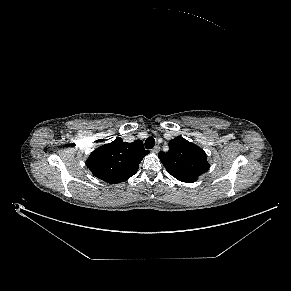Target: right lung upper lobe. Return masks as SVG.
<instances>
[{
	"mask_svg": "<svg viewBox=\"0 0 291 291\" xmlns=\"http://www.w3.org/2000/svg\"><path fill=\"white\" fill-rule=\"evenodd\" d=\"M148 153L141 140L127 143L116 138L94 150L86 160V166L97 178L117 184L133 176Z\"/></svg>",
	"mask_w": 291,
	"mask_h": 291,
	"instance_id": "cb5924a9",
	"label": "right lung upper lobe"
}]
</instances>
